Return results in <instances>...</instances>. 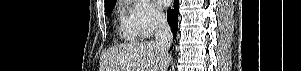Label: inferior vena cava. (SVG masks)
<instances>
[{
    "instance_id": "602c4592",
    "label": "inferior vena cava",
    "mask_w": 301,
    "mask_h": 71,
    "mask_svg": "<svg viewBox=\"0 0 301 71\" xmlns=\"http://www.w3.org/2000/svg\"><path fill=\"white\" fill-rule=\"evenodd\" d=\"M155 20V41L154 44L164 55H168V50L173 42V34L167 22V18L162 13L154 15ZM167 70V69H166Z\"/></svg>"
}]
</instances>
